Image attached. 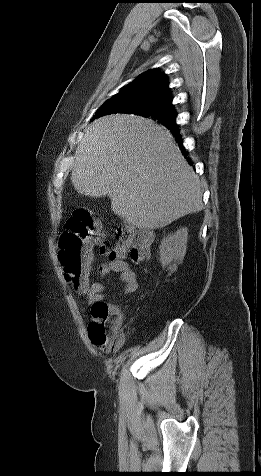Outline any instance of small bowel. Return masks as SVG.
Here are the masks:
<instances>
[{
  "label": "small bowel",
  "mask_w": 261,
  "mask_h": 476,
  "mask_svg": "<svg viewBox=\"0 0 261 476\" xmlns=\"http://www.w3.org/2000/svg\"><path fill=\"white\" fill-rule=\"evenodd\" d=\"M118 274L120 281L123 284L122 291L125 294H131L138 289V280L135 271L130 264L123 259H109L102 262L97 269V280L92 284L80 289L86 296L88 303L93 307L95 304L104 302L105 286L104 279L109 274ZM114 320L112 326L121 329L124 314L116 308H111Z\"/></svg>",
  "instance_id": "c3829d8e"
}]
</instances>
